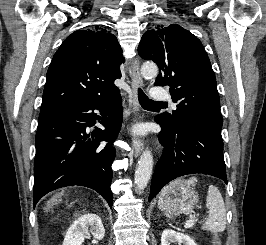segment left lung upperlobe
I'll return each instance as SVG.
<instances>
[{
  "label": "left lung upper lobe",
  "instance_id": "left-lung-upper-lobe-1",
  "mask_svg": "<svg viewBox=\"0 0 266 245\" xmlns=\"http://www.w3.org/2000/svg\"><path fill=\"white\" fill-rule=\"evenodd\" d=\"M139 55L159 67L155 86L170 87L177 110L161 114L169 128L182 120H194L221 129L220 99L215 74L201 41L175 24L146 31L138 46Z\"/></svg>",
  "mask_w": 266,
  "mask_h": 245
}]
</instances>
